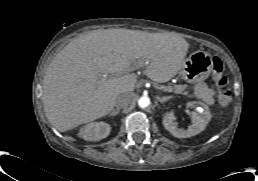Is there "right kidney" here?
<instances>
[{"label": "right kidney", "instance_id": "obj_1", "mask_svg": "<svg viewBox=\"0 0 258 181\" xmlns=\"http://www.w3.org/2000/svg\"><path fill=\"white\" fill-rule=\"evenodd\" d=\"M111 127L105 122H92L80 128L79 137L86 141H99L109 135Z\"/></svg>", "mask_w": 258, "mask_h": 181}]
</instances>
